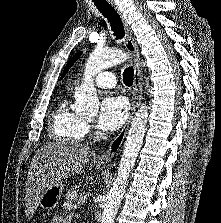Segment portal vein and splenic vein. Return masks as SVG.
<instances>
[{"label":"portal vein and splenic vein","instance_id":"obj_1","mask_svg":"<svg viewBox=\"0 0 221 223\" xmlns=\"http://www.w3.org/2000/svg\"><path fill=\"white\" fill-rule=\"evenodd\" d=\"M85 199H86V197L84 196V197L79 201V203H84Z\"/></svg>","mask_w":221,"mask_h":223}]
</instances>
